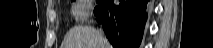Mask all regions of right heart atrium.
Segmentation results:
<instances>
[{
  "label": "right heart atrium",
  "instance_id": "right-heart-atrium-1",
  "mask_svg": "<svg viewBox=\"0 0 213 48\" xmlns=\"http://www.w3.org/2000/svg\"><path fill=\"white\" fill-rule=\"evenodd\" d=\"M91 9L90 1H78L72 8V15L77 21H83L90 15Z\"/></svg>",
  "mask_w": 213,
  "mask_h": 48
}]
</instances>
